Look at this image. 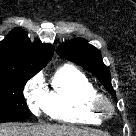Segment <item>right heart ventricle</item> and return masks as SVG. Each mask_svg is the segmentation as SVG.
I'll return each mask as SVG.
<instances>
[{
  "label": "right heart ventricle",
  "mask_w": 136,
  "mask_h": 136,
  "mask_svg": "<svg viewBox=\"0 0 136 136\" xmlns=\"http://www.w3.org/2000/svg\"><path fill=\"white\" fill-rule=\"evenodd\" d=\"M97 88L80 70L64 65L54 74L45 93V113L57 121L70 124H98L101 119L91 109Z\"/></svg>",
  "instance_id": "1"
}]
</instances>
